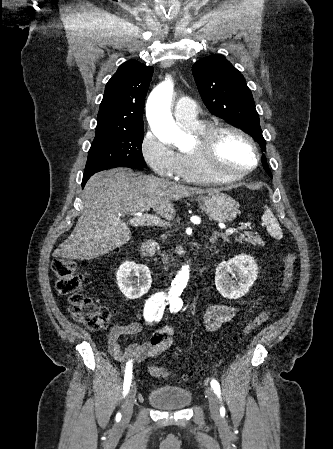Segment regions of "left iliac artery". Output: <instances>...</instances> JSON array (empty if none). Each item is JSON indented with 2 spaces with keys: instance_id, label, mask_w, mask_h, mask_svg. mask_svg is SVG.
Here are the masks:
<instances>
[{
  "instance_id": "left-iliac-artery-1",
  "label": "left iliac artery",
  "mask_w": 333,
  "mask_h": 449,
  "mask_svg": "<svg viewBox=\"0 0 333 449\" xmlns=\"http://www.w3.org/2000/svg\"><path fill=\"white\" fill-rule=\"evenodd\" d=\"M181 307H182V301L180 299L172 298L170 300V311L171 312H174V313L178 312L181 309ZM210 384H211V387H212L214 393L218 396V398H220L221 390H220V385L217 382V380L212 379ZM220 413H225V409L223 406L220 408Z\"/></svg>"
}]
</instances>
